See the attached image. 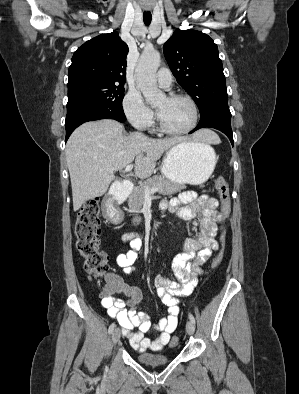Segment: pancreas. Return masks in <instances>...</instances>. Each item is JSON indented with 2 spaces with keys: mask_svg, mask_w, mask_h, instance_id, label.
<instances>
[{
  "mask_svg": "<svg viewBox=\"0 0 299 394\" xmlns=\"http://www.w3.org/2000/svg\"><path fill=\"white\" fill-rule=\"evenodd\" d=\"M159 188L158 192L163 195H172L182 189L184 186L181 184H174L162 175H156L146 181L140 183L134 188L132 194L129 197V208L134 213H139L145 199L146 188ZM140 218H135L134 221L139 223Z\"/></svg>",
  "mask_w": 299,
  "mask_h": 394,
  "instance_id": "cf45deb5",
  "label": "pancreas"
}]
</instances>
